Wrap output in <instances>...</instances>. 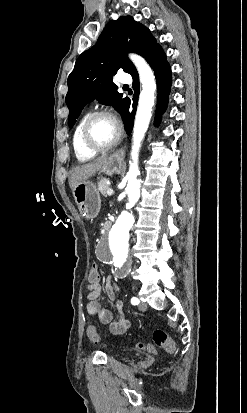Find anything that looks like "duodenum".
I'll use <instances>...</instances> for the list:
<instances>
[{
	"label": "duodenum",
	"instance_id": "410a0bca",
	"mask_svg": "<svg viewBox=\"0 0 247 413\" xmlns=\"http://www.w3.org/2000/svg\"><path fill=\"white\" fill-rule=\"evenodd\" d=\"M111 228V222L110 221H106L104 224V230L108 231Z\"/></svg>",
	"mask_w": 247,
	"mask_h": 413
}]
</instances>
